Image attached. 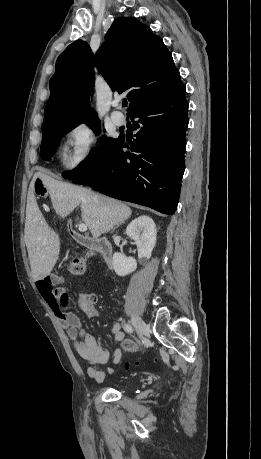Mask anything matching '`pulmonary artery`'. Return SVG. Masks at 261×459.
<instances>
[{
    "mask_svg": "<svg viewBox=\"0 0 261 459\" xmlns=\"http://www.w3.org/2000/svg\"><path fill=\"white\" fill-rule=\"evenodd\" d=\"M112 105H113V107H118L119 100H114L112 102ZM111 119L118 126H121V125L125 124V122H126L124 114L122 112L118 111V110H114L111 113Z\"/></svg>",
    "mask_w": 261,
    "mask_h": 459,
    "instance_id": "obj_1",
    "label": "pulmonary artery"
}]
</instances>
